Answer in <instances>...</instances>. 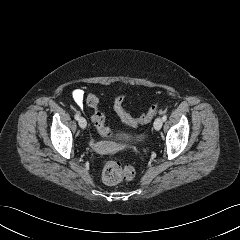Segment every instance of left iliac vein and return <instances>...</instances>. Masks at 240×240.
<instances>
[{
  "mask_svg": "<svg viewBox=\"0 0 240 240\" xmlns=\"http://www.w3.org/2000/svg\"><path fill=\"white\" fill-rule=\"evenodd\" d=\"M163 119L161 117L156 118L154 121V129L159 131L162 128Z\"/></svg>",
  "mask_w": 240,
  "mask_h": 240,
  "instance_id": "1",
  "label": "left iliac vein"
}]
</instances>
